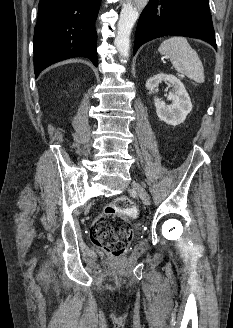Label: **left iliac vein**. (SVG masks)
<instances>
[{"label": "left iliac vein", "instance_id": "4c4485c4", "mask_svg": "<svg viewBox=\"0 0 233 328\" xmlns=\"http://www.w3.org/2000/svg\"><path fill=\"white\" fill-rule=\"evenodd\" d=\"M132 187L145 205H150V197L145 188L139 182H132Z\"/></svg>", "mask_w": 233, "mask_h": 328}]
</instances>
